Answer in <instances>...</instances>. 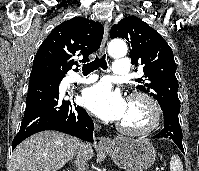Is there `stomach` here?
<instances>
[{"instance_id": "0dacf381", "label": "stomach", "mask_w": 199, "mask_h": 171, "mask_svg": "<svg viewBox=\"0 0 199 171\" xmlns=\"http://www.w3.org/2000/svg\"><path fill=\"white\" fill-rule=\"evenodd\" d=\"M113 162L126 171H145L155 161L156 152L147 139H118L101 148Z\"/></svg>"}]
</instances>
